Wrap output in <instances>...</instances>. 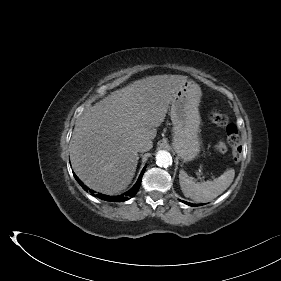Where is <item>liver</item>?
I'll list each match as a JSON object with an SVG mask.
<instances>
[{"label":"liver","instance_id":"1","mask_svg":"<svg viewBox=\"0 0 281 281\" xmlns=\"http://www.w3.org/2000/svg\"><path fill=\"white\" fill-rule=\"evenodd\" d=\"M185 81L187 76L182 75L149 76L89 107L76 123L70 142L72 168L80 180L107 195L126 189L139 160L136 145L152 144Z\"/></svg>","mask_w":281,"mask_h":281}]
</instances>
